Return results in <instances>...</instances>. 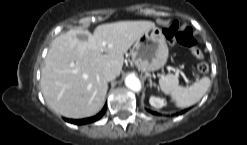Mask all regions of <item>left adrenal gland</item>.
<instances>
[{"label":"left adrenal gland","instance_id":"1","mask_svg":"<svg viewBox=\"0 0 247 145\" xmlns=\"http://www.w3.org/2000/svg\"><path fill=\"white\" fill-rule=\"evenodd\" d=\"M149 83H150V87H152V86L156 87L157 86L155 83L152 82L151 79H149Z\"/></svg>","mask_w":247,"mask_h":145}]
</instances>
